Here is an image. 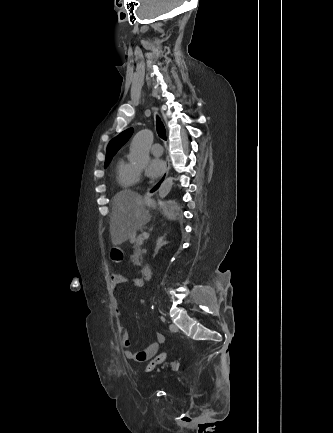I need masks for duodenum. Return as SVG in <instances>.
<instances>
[{
    "instance_id": "obj_1",
    "label": "duodenum",
    "mask_w": 333,
    "mask_h": 433,
    "mask_svg": "<svg viewBox=\"0 0 333 433\" xmlns=\"http://www.w3.org/2000/svg\"><path fill=\"white\" fill-rule=\"evenodd\" d=\"M131 241H132V242H135V241H136V238H135V237H132V238H131ZM141 275H142V278H143L144 280H150L151 277H152V268H151L149 265H144V266L141 268Z\"/></svg>"
}]
</instances>
